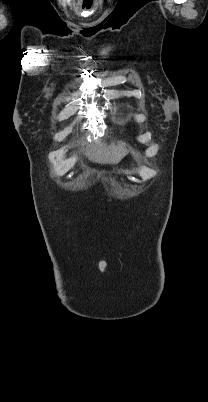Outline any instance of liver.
Returning a JSON list of instances; mask_svg holds the SVG:
<instances>
[{
    "instance_id": "6515ba94",
    "label": "liver",
    "mask_w": 208,
    "mask_h": 402,
    "mask_svg": "<svg viewBox=\"0 0 208 402\" xmlns=\"http://www.w3.org/2000/svg\"><path fill=\"white\" fill-rule=\"evenodd\" d=\"M128 154V150L124 148V144H88L85 152L88 160L96 162V164H117L123 156Z\"/></svg>"
}]
</instances>
